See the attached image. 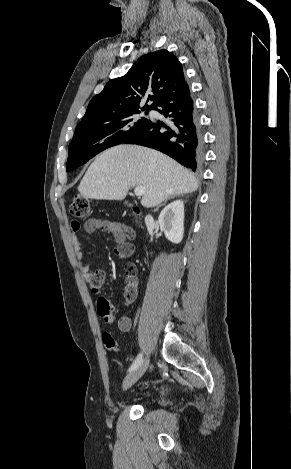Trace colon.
<instances>
[{
	"mask_svg": "<svg viewBox=\"0 0 291 469\" xmlns=\"http://www.w3.org/2000/svg\"><path fill=\"white\" fill-rule=\"evenodd\" d=\"M70 214L78 219H86L91 214V205L87 197L83 195H77L73 199L72 204L70 205ZM133 251V247L130 244H123L117 249V254L119 256L130 255ZM125 274L127 277V290L129 294V299L131 300L138 288V283L136 279L137 268L133 263H128L125 265ZM96 306L99 312V318L101 320L112 321L113 320V306L109 304L108 294L107 293H98L97 294ZM127 302H131V301ZM103 343L107 350L117 351L118 346L115 339L109 334H103Z\"/></svg>",
	"mask_w": 291,
	"mask_h": 469,
	"instance_id": "1",
	"label": "colon"
}]
</instances>
